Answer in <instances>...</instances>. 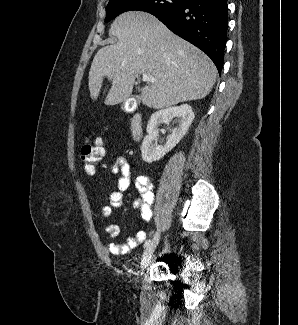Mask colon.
I'll return each instance as SVG.
<instances>
[{"label": "colon", "instance_id": "obj_1", "mask_svg": "<svg viewBox=\"0 0 298 325\" xmlns=\"http://www.w3.org/2000/svg\"><path fill=\"white\" fill-rule=\"evenodd\" d=\"M104 149L101 139L93 141H85L80 149V159L82 162L83 170L88 175H93L97 164L103 157Z\"/></svg>", "mask_w": 298, "mask_h": 325}]
</instances>
